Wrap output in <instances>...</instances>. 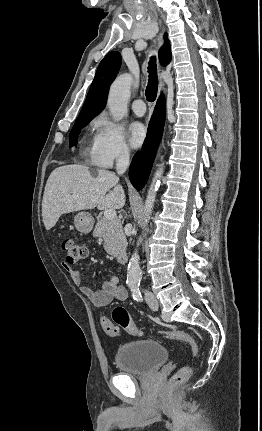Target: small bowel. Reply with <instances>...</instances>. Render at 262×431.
Listing matches in <instances>:
<instances>
[{
    "mask_svg": "<svg viewBox=\"0 0 262 431\" xmlns=\"http://www.w3.org/2000/svg\"><path fill=\"white\" fill-rule=\"evenodd\" d=\"M65 269L69 272L73 283L86 295L91 303L97 308H104L111 304L113 301L122 302L127 299L128 292L122 286H119L118 278L112 277L102 283L100 289L93 291L87 287L81 275L70 265H64Z\"/></svg>",
    "mask_w": 262,
    "mask_h": 431,
    "instance_id": "1",
    "label": "small bowel"
}]
</instances>
